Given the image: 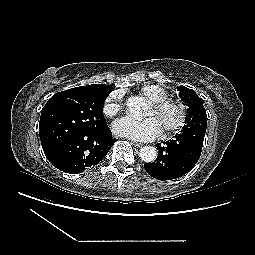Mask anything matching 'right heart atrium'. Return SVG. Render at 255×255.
<instances>
[{"label": "right heart atrium", "instance_id": "obj_1", "mask_svg": "<svg viewBox=\"0 0 255 255\" xmlns=\"http://www.w3.org/2000/svg\"><path fill=\"white\" fill-rule=\"evenodd\" d=\"M123 110V104H122V96L118 92L111 93L104 105H103V113L109 117H115Z\"/></svg>", "mask_w": 255, "mask_h": 255}]
</instances>
